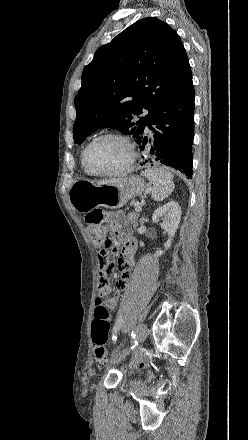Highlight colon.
<instances>
[{
    "label": "colon",
    "instance_id": "obj_1",
    "mask_svg": "<svg viewBox=\"0 0 248 440\" xmlns=\"http://www.w3.org/2000/svg\"><path fill=\"white\" fill-rule=\"evenodd\" d=\"M105 212L94 209L87 213L86 222L89 224V233L98 250L100 257H111L117 253V243L103 225ZM120 257V256H119ZM111 279V278H110ZM94 320L92 322V337L95 344L96 361L102 363L106 359L105 344L111 328L112 316L109 310L101 303L95 304Z\"/></svg>",
    "mask_w": 248,
    "mask_h": 440
}]
</instances>
